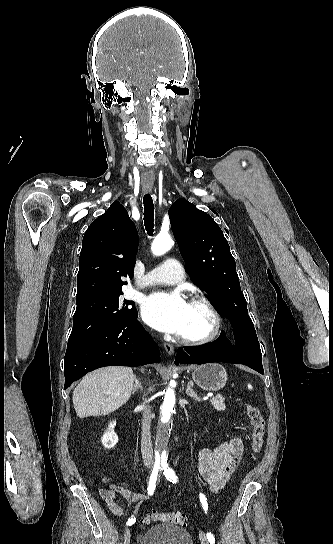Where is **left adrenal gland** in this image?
Wrapping results in <instances>:
<instances>
[{
	"label": "left adrenal gland",
	"mask_w": 333,
	"mask_h": 544,
	"mask_svg": "<svg viewBox=\"0 0 333 544\" xmlns=\"http://www.w3.org/2000/svg\"><path fill=\"white\" fill-rule=\"evenodd\" d=\"M193 381L190 380L187 384V389H186V394L188 396H190L191 398H193L194 400H199V396L197 395V393L193 390Z\"/></svg>",
	"instance_id": "left-adrenal-gland-1"
}]
</instances>
